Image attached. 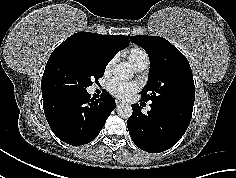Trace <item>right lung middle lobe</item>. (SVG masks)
Segmentation results:
<instances>
[{
  "instance_id": "obj_1",
  "label": "right lung middle lobe",
  "mask_w": 236,
  "mask_h": 178,
  "mask_svg": "<svg viewBox=\"0 0 236 178\" xmlns=\"http://www.w3.org/2000/svg\"><path fill=\"white\" fill-rule=\"evenodd\" d=\"M111 58L108 55L72 50L62 54L42 77V94L82 93L102 77Z\"/></svg>"
}]
</instances>
